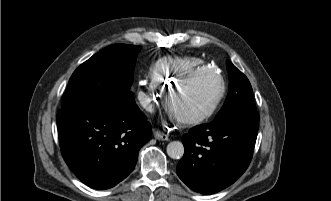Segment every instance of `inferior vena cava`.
I'll use <instances>...</instances> for the list:
<instances>
[{"label":"inferior vena cava","instance_id":"obj_1","mask_svg":"<svg viewBox=\"0 0 331 201\" xmlns=\"http://www.w3.org/2000/svg\"><path fill=\"white\" fill-rule=\"evenodd\" d=\"M141 103L144 107L150 108V99L147 97H144L141 99Z\"/></svg>","mask_w":331,"mask_h":201}]
</instances>
